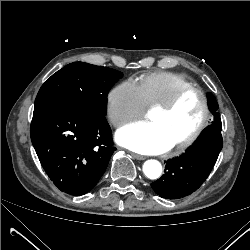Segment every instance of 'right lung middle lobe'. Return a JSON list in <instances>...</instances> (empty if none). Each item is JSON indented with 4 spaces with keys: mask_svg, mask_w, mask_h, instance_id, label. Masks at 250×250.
<instances>
[{
    "mask_svg": "<svg viewBox=\"0 0 250 250\" xmlns=\"http://www.w3.org/2000/svg\"><path fill=\"white\" fill-rule=\"evenodd\" d=\"M122 75L114 69L88 63L68 64L42 85L35 105L59 102L106 115L108 92Z\"/></svg>",
    "mask_w": 250,
    "mask_h": 250,
    "instance_id": "obj_1",
    "label": "right lung middle lobe"
}]
</instances>
